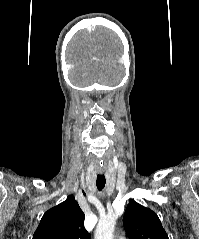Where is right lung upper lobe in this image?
Segmentation results:
<instances>
[{
	"mask_svg": "<svg viewBox=\"0 0 199 239\" xmlns=\"http://www.w3.org/2000/svg\"><path fill=\"white\" fill-rule=\"evenodd\" d=\"M85 215L73 196L43 215L33 239H90L84 228Z\"/></svg>",
	"mask_w": 199,
	"mask_h": 239,
	"instance_id": "obj_1",
	"label": "right lung upper lobe"
}]
</instances>
